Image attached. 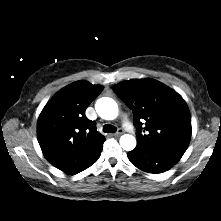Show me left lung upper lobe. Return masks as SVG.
Returning a JSON list of instances; mask_svg holds the SVG:
<instances>
[{
	"instance_id": "obj_1",
	"label": "left lung upper lobe",
	"mask_w": 221,
	"mask_h": 221,
	"mask_svg": "<svg viewBox=\"0 0 221 221\" xmlns=\"http://www.w3.org/2000/svg\"><path fill=\"white\" fill-rule=\"evenodd\" d=\"M133 111L138 148L184 153L191 139V116L174 90L154 79H132L113 86Z\"/></svg>"
}]
</instances>
